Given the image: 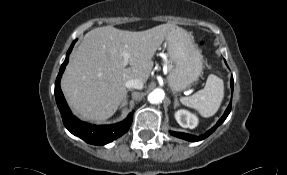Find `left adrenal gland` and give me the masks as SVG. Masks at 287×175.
<instances>
[{"instance_id": "1", "label": "left adrenal gland", "mask_w": 287, "mask_h": 175, "mask_svg": "<svg viewBox=\"0 0 287 175\" xmlns=\"http://www.w3.org/2000/svg\"><path fill=\"white\" fill-rule=\"evenodd\" d=\"M179 104L178 98H177V94H175V99H174V108H176Z\"/></svg>"}]
</instances>
